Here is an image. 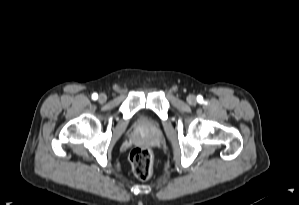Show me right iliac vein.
Returning <instances> with one entry per match:
<instances>
[{
  "instance_id": "right-iliac-vein-1",
  "label": "right iliac vein",
  "mask_w": 299,
  "mask_h": 205,
  "mask_svg": "<svg viewBox=\"0 0 299 205\" xmlns=\"http://www.w3.org/2000/svg\"><path fill=\"white\" fill-rule=\"evenodd\" d=\"M106 99H107V97H106L105 94H100V95H99V98H98V101H99L100 103H104V102L106 101Z\"/></svg>"
}]
</instances>
